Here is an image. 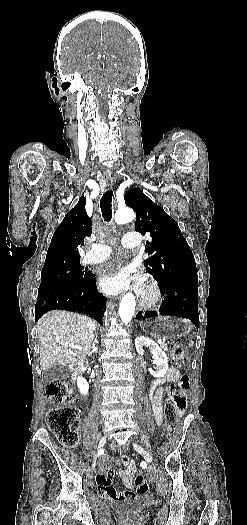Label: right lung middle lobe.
Masks as SVG:
<instances>
[{
  "label": "right lung middle lobe",
  "instance_id": "1",
  "mask_svg": "<svg viewBox=\"0 0 247 525\" xmlns=\"http://www.w3.org/2000/svg\"><path fill=\"white\" fill-rule=\"evenodd\" d=\"M83 269L80 263H75L42 271L38 295L57 288L77 287L84 284L92 274H84Z\"/></svg>",
  "mask_w": 247,
  "mask_h": 525
}]
</instances>
